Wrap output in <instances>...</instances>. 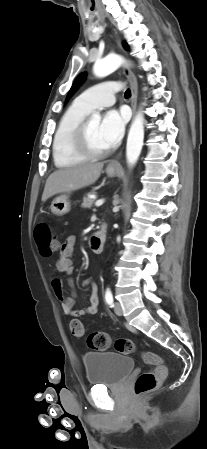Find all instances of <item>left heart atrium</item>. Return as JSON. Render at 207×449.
Masks as SVG:
<instances>
[{
  "label": "left heart atrium",
  "instance_id": "1",
  "mask_svg": "<svg viewBox=\"0 0 207 449\" xmlns=\"http://www.w3.org/2000/svg\"><path fill=\"white\" fill-rule=\"evenodd\" d=\"M127 121L128 116L124 110H111L105 114L100 123L99 131L108 148L120 141Z\"/></svg>",
  "mask_w": 207,
  "mask_h": 449
}]
</instances>
